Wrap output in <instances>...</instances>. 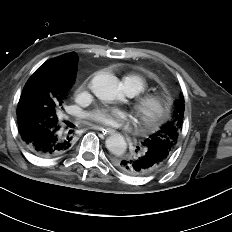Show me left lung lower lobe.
Wrapping results in <instances>:
<instances>
[{"instance_id": "obj_1", "label": "left lung lower lobe", "mask_w": 232, "mask_h": 232, "mask_svg": "<svg viewBox=\"0 0 232 232\" xmlns=\"http://www.w3.org/2000/svg\"><path fill=\"white\" fill-rule=\"evenodd\" d=\"M132 158H117L114 163L122 172L132 176H146L161 168L169 158L162 149L140 144Z\"/></svg>"}]
</instances>
